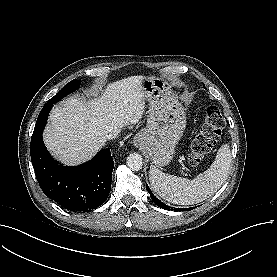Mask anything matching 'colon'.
Returning <instances> with one entry per match:
<instances>
[{"label": "colon", "mask_w": 277, "mask_h": 277, "mask_svg": "<svg viewBox=\"0 0 277 277\" xmlns=\"http://www.w3.org/2000/svg\"><path fill=\"white\" fill-rule=\"evenodd\" d=\"M224 126L225 120L219 107L217 105L208 106L200 130L191 141L188 155L190 165H199L209 155Z\"/></svg>", "instance_id": "1"}]
</instances>
